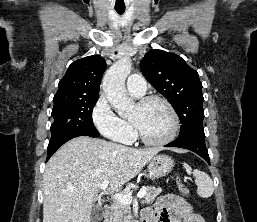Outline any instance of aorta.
<instances>
[{
    "label": "aorta",
    "mask_w": 257,
    "mask_h": 222,
    "mask_svg": "<svg viewBox=\"0 0 257 222\" xmlns=\"http://www.w3.org/2000/svg\"><path fill=\"white\" fill-rule=\"evenodd\" d=\"M131 67V59L124 57L109 68L102 80V88L107 100L121 116L132 112L135 107L134 101L127 97L125 87V80Z\"/></svg>",
    "instance_id": "762f6f07"
}]
</instances>
